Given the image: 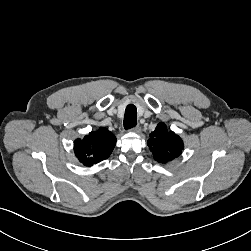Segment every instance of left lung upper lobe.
Returning <instances> with one entry per match:
<instances>
[{
	"instance_id": "1",
	"label": "left lung upper lobe",
	"mask_w": 251,
	"mask_h": 251,
	"mask_svg": "<svg viewBox=\"0 0 251 251\" xmlns=\"http://www.w3.org/2000/svg\"><path fill=\"white\" fill-rule=\"evenodd\" d=\"M154 159L160 163H167L178 157L183 150L182 139L172 131H168L164 123H159L151 132L147 142Z\"/></svg>"
}]
</instances>
